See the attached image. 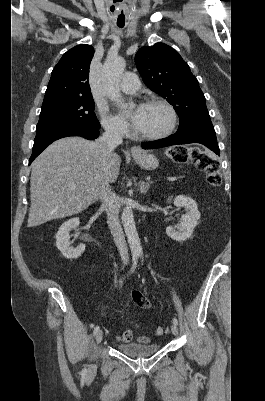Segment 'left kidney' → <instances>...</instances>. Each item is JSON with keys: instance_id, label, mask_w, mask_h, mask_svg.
<instances>
[{"instance_id": "5707ae66", "label": "left kidney", "mask_w": 265, "mask_h": 401, "mask_svg": "<svg viewBox=\"0 0 265 401\" xmlns=\"http://www.w3.org/2000/svg\"><path fill=\"white\" fill-rule=\"evenodd\" d=\"M170 201L171 198H169L168 203ZM173 203L175 207H185L188 213L182 215V223H179L177 227H167L166 233L174 241H186V239L192 237V233L201 217L197 209V203L193 201L191 196H183V194H178ZM175 229H178V231H175Z\"/></svg>"}]
</instances>
